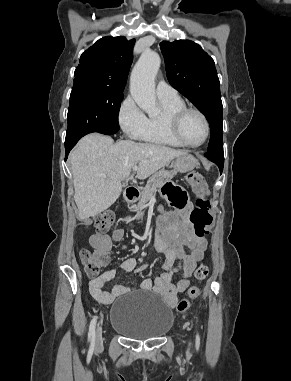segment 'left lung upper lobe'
I'll use <instances>...</instances> for the list:
<instances>
[{
  "mask_svg": "<svg viewBox=\"0 0 291 381\" xmlns=\"http://www.w3.org/2000/svg\"><path fill=\"white\" fill-rule=\"evenodd\" d=\"M167 78L207 118L211 136L207 153H223L220 82L213 59L190 40L160 43Z\"/></svg>",
  "mask_w": 291,
  "mask_h": 381,
  "instance_id": "obj_1",
  "label": "left lung upper lobe"
}]
</instances>
